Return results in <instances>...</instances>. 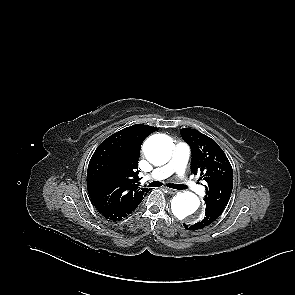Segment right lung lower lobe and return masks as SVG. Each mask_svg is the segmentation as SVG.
<instances>
[{
	"label": "right lung lower lobe",
	"mask_w": 295,
	"mask_h": 295,
	"mask_svg": "<svg viewBox=\"0 0 295 295\" xmlns=\"http://www.w3.org/2000/svg\"><path fill=\"white\" fill-rule=\"evenodd\" d=\"M143 198L144 196L132 204L117 207V208H111V207L101 206V205H95V207L105 218L116 221V220H121L127 217L130 213H132V211L138 207V205L140 204Z\"/></svg>",
	"instance_id": "obj_1"
}]
</instances>
